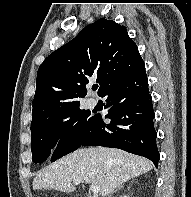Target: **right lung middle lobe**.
Here are the masks:
<instances>
[{
	"mask_svg": "<svg viewBox=\"0 0 191 197\" xmlns=\"http://www.w3.org/2000/svg\"><path fill=\"white\" fill-rule=\"evenodd\" d=\"M95 117L79 105L62 111L31 128L32 161L42 163L57 144L51 162L78 149L88 135Z\"/></svg>",
	"mask_w": 191,
	"mask_h": 197,
	"instance_id": "obj_1",
	"label": "right lung middle lobe"
}]
</instances>
